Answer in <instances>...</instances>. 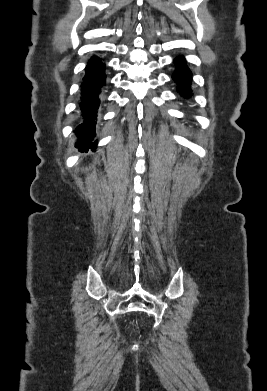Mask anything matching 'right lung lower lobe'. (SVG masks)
<instances>
[{
	"label": "right lung lower lobe",
	"mask_w": 267,
	"mask_h": 391,
	"mask_svg": "<svg viewBox=\"0 0 267 391\" xmlns=\"http://www.w3.org/2000/svg\"><path fill=\"white\" fill-rule=\"evenodd\" d=\"M106 84L105 64L98 57H92L86 67V74L81 84L82 101L80 108L84 121L78 125L76 135L81 152L89 148L95 150L97 142H92L95 135V119L100 104L101 88Z\"/></svg>",
	"instance_id": "1"
}]
</instances>
